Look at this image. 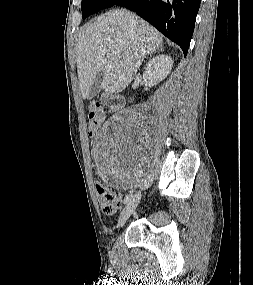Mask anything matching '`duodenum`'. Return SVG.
Returning <instances> with one entry per match:
<instances>
[{
	"label": "duodenum",
	"instance_id": "410a0bca",
	"mask_svg": "<svg viewBox=\"0 0 253 285\" xmlns=\"http://www.w3.org/2000/svg\"><path fill=\"white\" fill-rule=\"evenodd\" d=\"M103 101L112 111H118L125 106V99L120 95L106 94Z\"/></svg>",
	"mask_w": 253,
	"mask_h": 285
}]
</instances>
